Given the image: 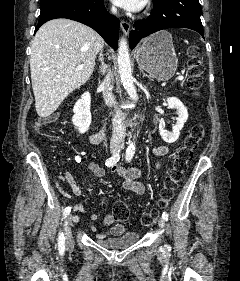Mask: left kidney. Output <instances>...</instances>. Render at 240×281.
I'll list each match as a JSON object with an SVG mask.
<instances>
[{"label": "left kidney", "instance_id": "obj_1", "mask_svg": "<svg viewBox=\"0 0 240 281\" xmlns=\"http://www.w3.org/2000/svg\"><path fill=\"white\" fill-rule=\"evenodd\" d=\"M168 107L175 109L178 117L176 118V124L172 127V132L165 130L162 123L159 124V132L161 138L167 143L175 142L179 136L180 131L184 127L185 122L188 119V111L183 103L176 97H169L166 99Z\"/></svg>", "mask_w": 240, "mask_h": 281}]
</instances>
